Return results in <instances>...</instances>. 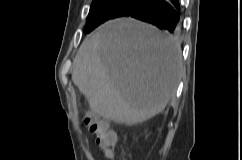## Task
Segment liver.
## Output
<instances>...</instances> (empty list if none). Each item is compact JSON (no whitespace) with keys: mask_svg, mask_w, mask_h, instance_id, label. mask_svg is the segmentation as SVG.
I'll return each instance as SVG.
<instances>
[{"mask_svg":"<svg viewBox=\"0 0 242 160\" xmlns=\"http://www.w3.org/2000/svg\"><path fill=\"white\" fill-rule=\"evenodd\" d=\"M73 83L97 115L135 125L161 113L182 71L180 43L130 18L100 26L73 61Z\"/></svg>","mask_w":242,"mask_h":160,"instance_id":"6515ba94","label":"liver"}]
</instances>
